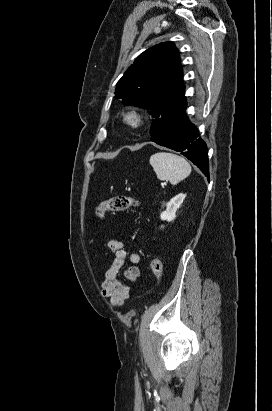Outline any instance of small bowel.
<instances>
[{"label":"small bowel","mask_w":272,"mask_h":411,"mask_svg":"<svg viewBox=\"0 0 272 411\" xmlns=\"http://www.w3.org/2000/svg\"><path fill=\"white\" fill-rule=\"evenodd\" d=\"M107 248L114 252L110 266L105 272V278L101 284L103 296L109 298L112 307H123L125 300L130 293V286L125 281L136 283L140 277V269L137 264L140 262V255L134 252L121 240H109ZM131 263L124 272L123 279L120 271L126 260Z\"/></svg>","instance_id":"c3829d8e"}]
</instances>
